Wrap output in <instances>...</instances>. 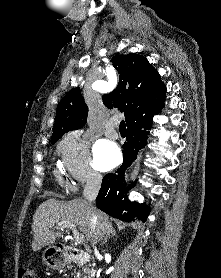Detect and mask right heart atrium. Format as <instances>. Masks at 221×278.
I'll return each mask as SVG.
<instances>
[{
	"mask_svg": "<svg viewBox=\"0 0 221 278\" xmlns=\"http://www.w3.org/2000/svg\"><path fill=\"white\" fill-rule=\"evenodd\" d=\"M62 166L68 176L78 184H94L101 175L93 165L89 142L81 131L66 134L58 144Z\"/></svg>",
	"mask_w": 221,
	"mask_h": 278,
	"instance_id": "right-heart-atrium-1",
	"label": "right heart atrium"
}]
</instances>
